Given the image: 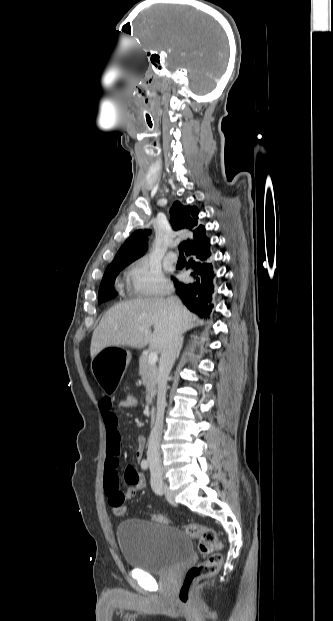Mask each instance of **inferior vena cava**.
Returning <instances> with one entry per match:
<instances>
[{"label":"inferior vena cava","mask_w":333,"mask_h":621,"mask_svg":"<svg viewBox=\"0 0 333 621\" xmlns=\"http://www.w3.org/2000/svg\"><path fill=\"white\" fill-rule=\"evenodd\" d=\"M167 302L170 310V326L159 362L157 416L154 427L150 433L147 451V460L150 465L154 463L161 464L160 442L166 407L167 379L174 365L182 339V329L176 318L181 303L175 297L168 298Z\"/></svg>","instance_id":"1"}]
</instances>
